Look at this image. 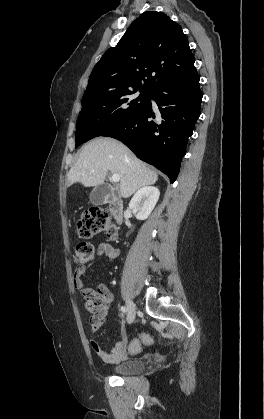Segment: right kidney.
<instances>
[{
	"label": "right kidney",
	"instance_id": "1",
	"mask_svg": "<svg viewBox=\"0 0 264 419\" xmlns=\"http://www.w3.org/2000/svg\"><path fill=\"white\" fill-rule=\"evenodd\" d=\"M159 196L160 192L158 188L154 186L142 187L134 194L129 203V208L138 220H145L154 209Z\"/></svg>",
	"mask_w": 264,
	"mask_h": 419
}]
</instances>
